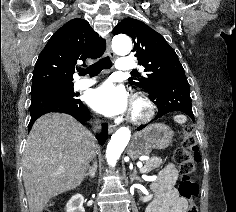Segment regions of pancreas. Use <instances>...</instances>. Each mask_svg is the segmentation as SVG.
Instances as JSON below:
<instances>
[{
  "label": "pancreas",
  "instance_id": "1",
  "mask_svg": "<svg viewBox=\"0 0 236 212\" xmlns=\"http://www.w3.org/2000/svg\"><path fill=\"white\" fill-rule=\"evenodd\" d=\"M162 163V159L158 157H153L150 160H147L144 162V168L142 170L143 173H149L154 169H157L160 167Z\"/></svg>",
  "mask_w": 236,
  "mask_h": 212
}]
</instances>
